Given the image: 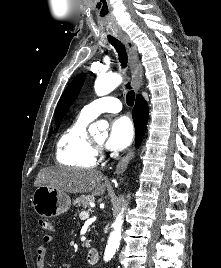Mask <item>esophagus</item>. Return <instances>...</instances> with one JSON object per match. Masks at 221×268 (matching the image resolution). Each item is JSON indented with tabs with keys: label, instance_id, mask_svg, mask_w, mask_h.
<instances>
[{
	"label": "esophagus",
	"instance_id": "34e87169",
	"mask_svg": "<svg viewBox=\"0 0 221 268\" xmlns=\"http://www.w3.org/2000/svg\"><path fill=\"white\" fill-rule=\"evenodd\" d=\"M119 38L126 47V51L128 54L129 68L131 72L132 85L134 90L138 92L141 88V68L138 60L136 46L126 34H120ZM133 156H134V147L129 149L128 152L121 158V160L118 162L116 166L114 173L116 175L122 174L126 170Z\"/></svg>",
	"mask_w": 221,
	"mask_h": 268
}]
</instances>
